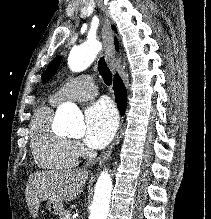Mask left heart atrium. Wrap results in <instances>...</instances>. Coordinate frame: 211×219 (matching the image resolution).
I'll return each instance as SVG.
<instances>
[{
	"label": "left heart atrium",
	"mask_w": 211,
	"mask_h": 219,
	"mask_svg": "<svg viewBox=\"0 0 211 219\" xmlns=\"http://www.w3.org/2000/svg\"><path fill=\"white\" fill-rule=\"evenodd\" d=\"M85 123V143L92 148H102L113 138L118 126V117L113 105L101 100L88 108Z\"/></svg>",
	"instance_id": "obj_1"
}]
</instances>
